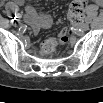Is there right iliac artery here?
I'll list each match as a JSON object with an SVG mask.
<instances>
[{
    "label": "right iliac artery",
    "instance_id": "right-iliac-artery-1",
    "mask_svg": "<svg viewBox=\"0 0 103 103\" xmlns=\"http://www.w3.org/2000/svg\"><path fill=\"white\" fill-rule=\"evenodd\" d=\"M21 17H22V16H21L20 13H16V14H15V20H16V19L18 20V19H20Z\"/></svg>",
    "mask_w": 103,
    "mask_h": 103
}]
</instances>
